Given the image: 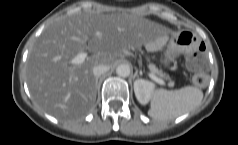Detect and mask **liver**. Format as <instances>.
<instances>
[{
	"label": "liver",
	"mask_w": 238,
	"mask_h": 145,
	"mask_svg": "<svg viewBox=\"0 0 238 145\" xmlns=\"http://www.w3.org/2000/svg\"><path fill=\"white\" fill-rule=\"evenodd\" d=\"M168 31L162 25L127 13L77 11L55 19L32 47L26 66L34 101L58 119L89 112L96 101L93 67L112 66L128 49L137 48ZM92 52L82 64L70 61Z\"/></svg>",
	"instance_id": "liver-1"
}]
</instances>
